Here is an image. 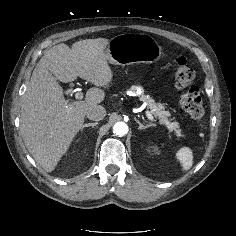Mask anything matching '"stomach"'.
Masks as SVG:
<instances>
[{"instance_id": "1", "label": "stomach", "mask_w": 236, "mask_h": 236, "mask_svg": "<svg viewBox=\"0 0 236 236\" xmlns=\"http://www.w3.org/2000/svg\"><path fill=\"white\" fill-rule=\"evenodd\" d=\"M163 54L158 42L148 34L125 33L113 37L107 46V60L111 64L126 66L157 62Z\"/></svg>"}]
</instances>
